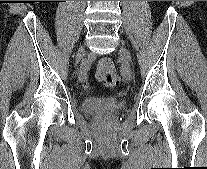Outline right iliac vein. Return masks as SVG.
I'll list each match as a JSON object with an SVG mask.
<instances>
[{
  "label": "right iliac vein",
  "mask_w": 207,
  "mask_h": 169,
  "mask_svg": "<svg viewBox=\"0 0 207 169\" xmlns=\"http://www.w3.org/2000/svg\"><path fill=\"white\" fill-rule=\"evenodd\" d=\"M84 53H85V47H84V46H81V47L78 49V51H77V55H76V64L79 63V61H80V59L82 58V56L84 55ZM79 77H80V80H81V81L86 80V78L83 77V75H81V73H80Z\"/></svg>",
  "instance_id": "63e3f726"
}]
</instances>
